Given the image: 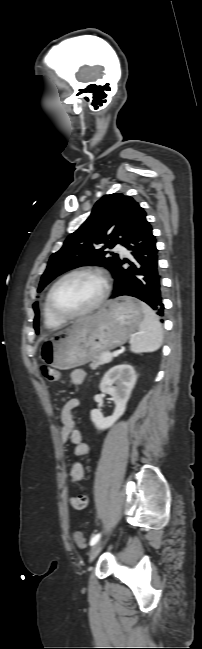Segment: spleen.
Listing matches in <instances>:
<instances>
[{"instance_id": "1", "label": "spleen", "mask_w": 202, "mask_h": 649, "mask_svg": "<svg viewBox=\"0 0 202 649\" xmlns=\"http://www.w3.org/2000/svg\"><path fill=\"white\" fill-rule=\"evenodd\" d=\"M144 319L139 326V332L131 340L130 350L133 353L153 352L162 344V326L156 313L145 303H142Z\"/></svg>"}]
</instances>
